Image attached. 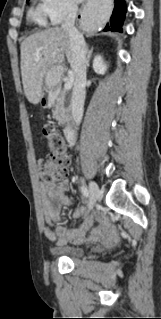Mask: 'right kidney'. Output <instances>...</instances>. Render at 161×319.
I'll list each match as a JSON object with an SVG mask.
<instances>
[{
  "label": "right kidney",
  "instance_id": "right-kidney-1",
  "mask_svg": "<svg viewBox=\"0 0 161 319\" xmlns=\"http://www.w3.org/2000/svg\"><path fill=\"white\" fill-rule=\"evenodd\" d=\"M93 69L97 74H104L106 71V65L104 64L101 55H96L93 61Z\"/></svg>",
  "mask_w": 161,
  "mask_h": 319
}]
</instances>
